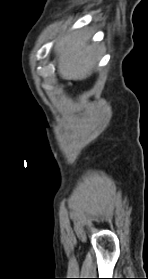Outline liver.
Returning a JSON list of instances; mask_svg holds the SVG:
<instances>
[{"label": "liver", "mask_w": 148, "mask_h": 279, "mask_svg": "<svg viewBox=\"0 0 148 279\" xmlns=\"http://www.w3.org/2000/svg\"><path fill=\"white\" fill-rule=\"evenodd\" d=\"M90 36L75 31L63 36L55 46L58 73L65 80H83L91 75L98 57L96 46L89 44Z\"/></svg>", "instance_id": "6515ba94"}]
</instances>
